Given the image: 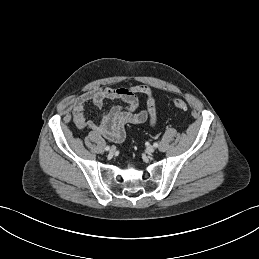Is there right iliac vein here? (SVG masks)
<instances>
[{"instance_id": "obj_1", "label": "right iliac vein", "mask_w": 259, "mask_h": 259, "mask_svg": "<svg viewBox=\"0 0 259 259\" xmlns=\"http://www.w3.org/2000/svg\"><path fill=\"white\" fill-rule=\"evenodd\" d=\"M115 151H116V148L113 146V147H111L109 153L112 155V154H114Z\"/></svg>"}]
</instances>
